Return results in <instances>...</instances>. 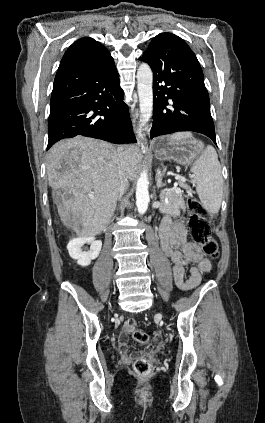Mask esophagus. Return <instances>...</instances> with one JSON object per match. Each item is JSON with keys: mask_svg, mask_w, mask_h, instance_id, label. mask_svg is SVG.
Here are the masks:
<instances>
[{"mask_svg": "<svg viewBox=\"0 0 265 423\" xmlns=\"http://www.w3.org/2000/svg\"><path fill=\"white\" fill-rule=\"evenodd\" d=\"M134 133L139 142L145 141L142 119L139 111L135 109L132 115Z\"/></svg>", "mask_w": 265, "mask_h": 423, "instance_id": "34e87169", "label": "esophagus"}]
</instances>
